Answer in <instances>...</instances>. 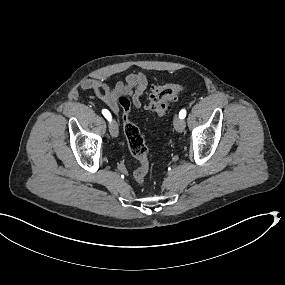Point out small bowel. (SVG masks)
<instances>
[{
  "instance_id": "small-bowel-1",
  "label": "small bowel",
  "mask_w": 285,
  "mask_h": 285,
  "mask_svg": "<svg viewBox=\"0 0 285 285\" xmlns=\"http://www.w3.org/2000/svg\"><path fill=\"white\" fill-rule=\"evenodd\" d=\"M81 87L93 92L107 107L118 113V98L122 94L132 95L134 106L141 107V97L148 88V80L143 73H130L125 82H117L112 87L96 79H85Z\"/></svg>"
}]
</instances>
